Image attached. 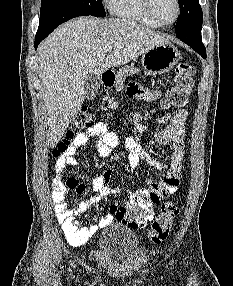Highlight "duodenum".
<instances>
[{"label":"duodenum","instance_id":"1","mask_svg":"<svg viewBox=\"0 0 233 286\" xmlns=\"http://www.w3.org/2000/svg\"><path fill=\"white\" fill-rule=\"evenodd\" d=\"M115 80V75L112 71H104L101 74V83L103 87L110 88Z\"/></svg>","mask_w":233,"mask_h":286}]
</instances>
